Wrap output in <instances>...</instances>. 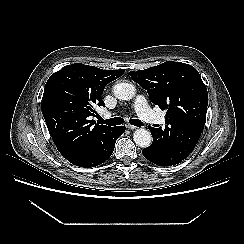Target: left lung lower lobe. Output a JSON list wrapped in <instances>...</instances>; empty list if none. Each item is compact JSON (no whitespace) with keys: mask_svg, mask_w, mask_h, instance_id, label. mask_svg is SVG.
I'll return each mask as SVG.
<instances>
[{"mask_svg":"<svg viewBox=\"0 0 244 244\" xmlns=\"http://www.w3.org/2000/svg\"><path fill=\"white\" fill-rule=\"evenodd\" d=\"M142 154L147 160L151 161L154 164H157L158 166H171L177 164V163L166 164V162H164V160L161 158L159 151L154 146L151 145L143 149Z\"/></svg>","mask_w":244,"mask_h":244,"instance_id":"0a47b994","label":"left lung lower lobe"}]
</instances>
